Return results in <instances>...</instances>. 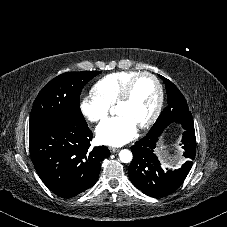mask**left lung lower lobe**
Wrapping results in <instances>:
<instances>
[{
	"mask_svg": "<svg viewBox=\"0 0 227 227\" xmlns=\"http://www.w3.org/2000/svg\"><path fill=\"white\" fill-rule=\"evenodd\" d=\"M181 142L184 155L189 159L181 168L165 171L161 162L154 154L161 134L144 137L132 147L133 160L129 165V177L133 185L144 194L159 198L170 195L184 182L196 153V138L194 124L183 127Z\"/></svg>",
	"mask_w": 227,
	"mask_h": 227,
	"instance_id": "0a47b994",
	"label": "left lung lower lobe"
}]
</instances>
